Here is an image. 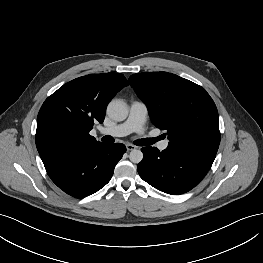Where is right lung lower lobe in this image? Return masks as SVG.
<instances>
[{
  "label": "right lung lower lobe",
  "mask_w": 263,
  "mask_h": 263,
  "mask_svg": "<svg viewBox=\"0 0 263 263\" xmlns=\"http://www.w3.org/2000/svg\"><path fill=\"white\" fill-rule=\"evenodd\" d=\"M125 152L123 144L85 146L68 155L47 173L65 193L83 198L97 192L110 181L116 164Z\"/></svg>",
  "instance_id": "1"
}]
</instances>
